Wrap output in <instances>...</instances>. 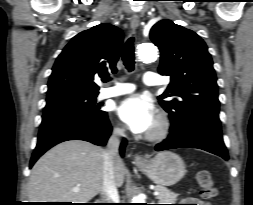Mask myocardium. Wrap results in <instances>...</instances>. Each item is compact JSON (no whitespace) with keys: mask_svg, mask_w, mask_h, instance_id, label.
<instances>
[{"mask_svg":"<svg viewBox=\"0 0 253 205\" xmlns=\"http://www.w3.org/2000/svg\"><path fill=\"white\" fill-rule=\"evenodd\" d=\"M170 131V121L166 114H159L154 128L147 134L149 141H160L165 139Z\"/></svg>","mask_w":253,"mask_h":205,"instance_id":"1","label":"myocardium"}]
</instances>
